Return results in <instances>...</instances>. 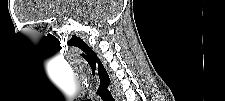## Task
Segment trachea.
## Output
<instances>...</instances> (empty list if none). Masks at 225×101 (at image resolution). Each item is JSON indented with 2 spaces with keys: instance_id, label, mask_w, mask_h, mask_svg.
<instances>
[{
  "instance_id": "trachea-1",
  "label": "trachea",
  "mask_w": 225,
  "mask_h": 101,
  "mask_svg": "<svg viewBox=\"0 0 225 101\" xmlns=\"http://www.w3.org/2000/svg\"><path fill=\"white\" fill-rule=\"evenodd\" d=\"M102 93L101 98L103 101H115V99L112 97L111 93L107 90V87H105Z\"/></svg>"
}]
</instances>
